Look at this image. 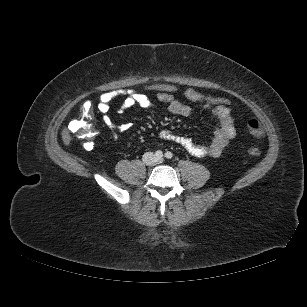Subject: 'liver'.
<instances>
[{
  "instance_id": "1",
  "label": "liver",
  "mask_w": 307,
  "mask_h": 307,
  "mask_svg": "<svg viewBox=\"0 0 307 307\" xmlns=\"http://www.w3.org/2000/svg\"><path fill=\"white\" fill-rule=\"evenodd\" d=\"M144 90L146 92H155L158 90L159 92H182L184 90V85L182 83H159L156 85L155 83H146L144 85ZM62 139L65 145H69L71 141V136L67 129H63L62 131Z\"/></svg>"
}]
</instances>
